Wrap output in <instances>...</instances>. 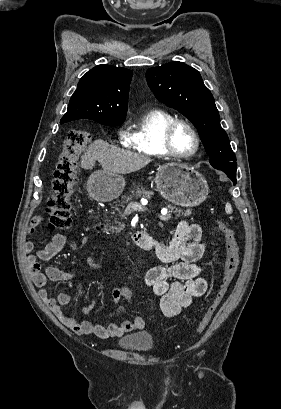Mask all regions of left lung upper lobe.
Returning a JSON list of instances; mask_svg holds the SVG:
<instances>
[{
  "label": "left lung upper lobe",
  "instance_id": "5c2ea615",
  "mask_svg": "<svg viewBox=\"0 0 281 409\" xmlns=\"http://www.w3.org/2000/svg\"><path fill=\"white\" fill-rule=\"evenodd\" d=\"M146 79L159 101L178 110L195 125L214 168L237 169L214 98L196 69L175 61L148 69Z\"/></svg>",
  "mask_w": 281,
  "mask_h": 409
}]
</instances>
